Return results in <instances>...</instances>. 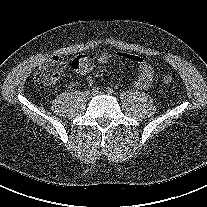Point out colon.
Segmentation results:
<instances>
[{
  "label": "colon",
  "instance_id": "colon-1",
  "mask_svg": "<svg viewBox=\"0 0 207 207\" xmlns=\"http://www.w3.org/2000/svg\"><path fill=\"white\" fill-rule=\"evenodd\" d=\"M67 68V62L61 57H53L38 69L35 73V82L40 86H48L57 81L60 74ZM174 79V73L168 72L162 75V81L170 84Z\"/></svg>",
  "mask_w": 207,
  "mask_h": 207
}]
</instances>
